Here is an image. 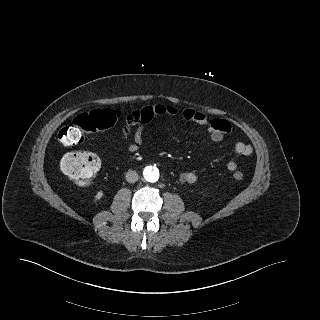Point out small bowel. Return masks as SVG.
I'll use <instances>...</instances> for the list:
<instances>
[{
  "label": "small bowel",
  "instance_id": "1",
  "mask_svg": "<svg viewBox=\"0 0 320 320\" xmlns=\"http://www.w3.org/2000/svg\"><path fill=\"white\" fill-rule=\"evenodd\" d=\"M179 113L178 109L172 105L157 104L146 106L141 109L132 111L126 120V124L122 131V137L127 150L131 153L138 151L139 147L144 142V133L148 124L155 117L160 116H175ZM181 116L190 122L205 126L211 141L218 143L224 139V136L230 132V123L222 119H209L202 112L194 109H184L181 111ZM147 118L146 122L138 123L137 120ZM136 127L132 130V127ZM236 154L245 158L252 154V146L244 142H237L234 146ZM229 171H235L238 168V162L231 160L227 163ZM197 174L192 171H185L180 175V181L184 184H194L197 181Z\"/></svg>",
  "mask_w": 320,
  "mask_h": 320
}]
</instances>
